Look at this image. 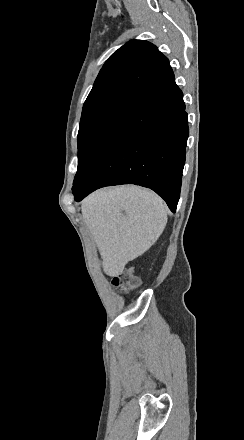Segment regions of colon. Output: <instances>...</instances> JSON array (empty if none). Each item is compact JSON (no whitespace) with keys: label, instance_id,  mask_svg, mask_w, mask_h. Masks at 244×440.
<instances>
[{"label":"colon","instance_id":"5ec220e1","mask_svg":"<svg viewBox=\"0 0 244 440\" xmlns=\"http://www.w3.org/2000/svg\"><path fill=\"white\" fill-rule=\"evenodd\" d=\"M140 279L135 275L132 269L123 271L111 279V285L122 292H129L138 287Z\"/></svg>","mask_w":244,"mask_h":440}]
</instances>
